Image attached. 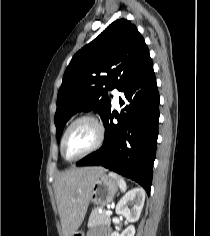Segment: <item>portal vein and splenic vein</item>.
<instances>
[{"label":"portal vein and splenic vein","instance_id":"portal-vein-and-splenic-vein-1","mask_svg":"<svg viewBox=\"0 0 210 236\" xmlns=\"http://www.w3.org/2000/svg\"><path fill=\"white\" fill-rule=\"evenodd\" d=\"M106 214H107V215H111V214H112V211H111V210H107V211H106Z\"/></svg>","mask_w":210,"mask_h":236}]
</instances>
